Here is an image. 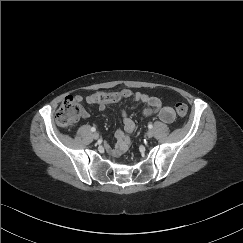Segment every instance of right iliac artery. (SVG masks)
I'll list each match as a JSON object with an SVG mask.
<instances>
[{
  "label": "right iliac artery",
  "instance_id": "82829eb1",
  "mask_svg": "<svg viewBox=\"0 0 243 243\" xmlns=\"http://www.w3.org/2000/svg\"><path fill=\"white\" fill-rule=\"evenodd\" d=\"M91 131H92V132H95V131H96V128H95V127H92V128H91Z\"/></svg>",
  "mask_w": 243,
  "mask_h": 243
}]
</instances>
